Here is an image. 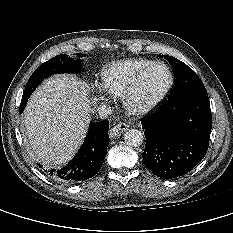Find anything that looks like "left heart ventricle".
Segmentation results:
<instances>
[{
	"label": "left heart ventricle",
	"mask_w": 233,
	"mask_h": 233,
	"mask_svg": "<svg viewBox=\"0 0 233 233\" xmlns=\"http://www.w3.org/2000/svg\"><path fill=\"white\" fill-rule=\"evenodd\" d=\"M168 80V72L164 67L150 69L132 96L133 104L142 106L151 102L165 88Z\"/></svg>",
	"instance_id": "b2bd125f"
}]
</instances>
